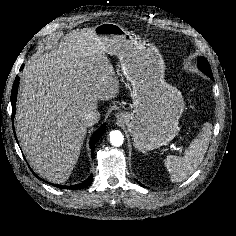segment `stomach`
I'll use <instances>...</instances> for the list:
<instances>
[{"label": "stomach", "mask_w": 236, "mask_h": 236, "mask_svg": "<svg viewBox=\"0 0 236 236\" xmlns=\"http://www.w3.org/2000/svg\"><path fill=\"white\" fill-rule=\"evenodd\" d=\"M94 32L104 53L118 57L132 85L133 110L120 111L117 118L126 124L135 148L144 152L166 145L178 133L185 103L181 92L165 81L160 52L116 23L103 22Z\"/></svg>", "instance_id": "1"}]
</instances>
